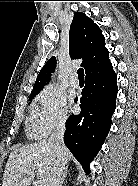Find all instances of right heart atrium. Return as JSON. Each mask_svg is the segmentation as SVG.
Masks as SVG:
<instances>
[{
  "label": "right heart atrium",
  "instance_id": "1",
  "mask_svg": "<svg viewBox=\"0 0 138 186\" xmlns=\"http://www.w3.org/2000/svg\"><path fill=\"white\" fill-rule=\"evenodd\" d=\"M38 121L47 135L63 128L67 121L64 95L54 86L45 87L37 97Z\"/></svg>",
  "mask_w": 138,
  "mask_h": 186
}]
</instances>
